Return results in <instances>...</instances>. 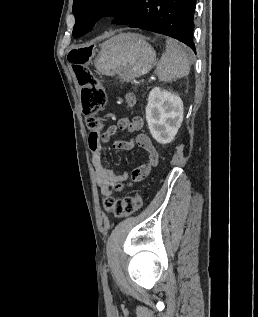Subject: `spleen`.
<instances>
[{
	"mask_svg": "<svg viewBox=\"0 0 258 317\" xmlns=\"http://www.w3.org/2000/svg\"><path fill=\"white\" fill-rule=\"evenodd\" d=\"M191 48H184L177 40L168 38L165 52L161 56L156 68L160 80H175L187 76L192 58Z\"/></svg>",
	"mask_w": 258,
	"mask_h": 317,
	"instance_id": "3e777b00",
	"label": "spleen"
}]
</instances>
